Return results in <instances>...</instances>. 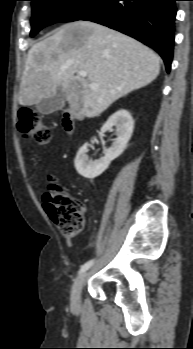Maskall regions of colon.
Returning <instances> with one entry per match:
<instances>
[{
    "label": "colon",
    "instance_id": "5ec220e1",
    "mask_svg": "<svg viewBox=\"0 0 193 349\" xmlns=\"http://www.w3.org/2000/svg\"><path fill=\"white\" fill-rule=\"evenodd\" d=\"M17 128L21 135L30 137L38 144L49 142L50 133L40 114L30 108H21L18 112ZM44 207L64 234H78L84 226L82 204L79 200L65 193L62 187L50 177L47 190L43 195Z\"/></svg>",
    "mask_w": 193,
    "mask_h": 349
}]
</instances>
